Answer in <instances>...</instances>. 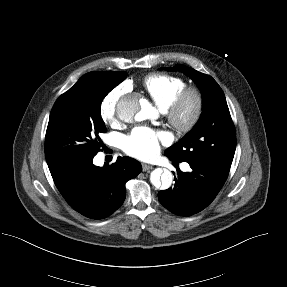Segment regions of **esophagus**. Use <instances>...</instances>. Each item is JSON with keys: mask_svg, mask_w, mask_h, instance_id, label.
<instances>
[{"mask_svg": "<svg viewBox=\"0 0 287 287\" xmlns=\"http://www.w3.org/2000/svg\"><path fill=\"white\" fill-rule=\"evenodd\" d=\"M142 169L143 171H148V170L153 169V166L149 164H142Z\"/></svg>", "mask_w": 287, "mask_h": 287, "instance_id": "esophagus-1", "label": "esophagus"}]
</instances>
